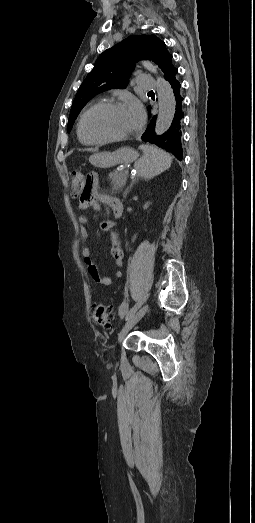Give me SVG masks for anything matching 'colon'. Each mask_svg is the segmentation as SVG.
<instances>
[{
    "instance_id": "1",
    "label": "colon",
    "mask_w": 255,
    "mask_h": 523,
    "mask_svg": "<svg viewBox=\"0 0 255 523\" xmlns=\"http://www.w3.org/2000/svg\"><path fill=\"white\" fill-rule=\"evenodd\" d=\"M72 196L87 198L90 194V180L80 171H73L70 176ZM93 318L95 322L103 327H110L112 323V312L110 306L103 303L93 305Z\"/></svg>"
}]
</instances>
